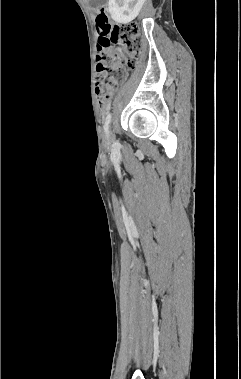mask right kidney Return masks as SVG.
Returning <instances> with one entry per match:
<instances>
[{"instance_id":"ca27d5eb","label":"right kidney","mask_w":241,"mask_h":379,"mask_svg":"<svg viewBox=\"0 0 241 379\" xmlns=\"http://www.w3.org/2000/svg\"><path fill=\"white\" fill-rule=\"evenodd\" d=\"M145 0H109L111 18L121 24H128L139 14Z\"/></svg>"}]
</instances>
